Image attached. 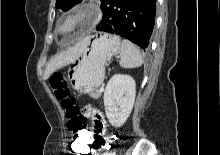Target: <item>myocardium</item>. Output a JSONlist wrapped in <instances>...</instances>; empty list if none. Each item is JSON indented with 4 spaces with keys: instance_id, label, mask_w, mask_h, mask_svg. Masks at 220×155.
Segmentation results:
<instances>
[{
    "instance_id": "1",
    "label": "myocardium",
    "mask_w": 220,
    "mask_h": 155,
    "mask_svg": "<svg viewBox=\"0 0 220 155\" xmlns=\"http://www.w3.org/2000/svg\"><path fill=\"white\" fill-rule=\"evenodd\" d=\"M96 14V7L93 4L78 6L68 12L63 13L55 23V32L59 35H70L76 33L87 26ZM69 23L72 25L69 31H61V25Z\"/></svg>"
}]
</instances>
